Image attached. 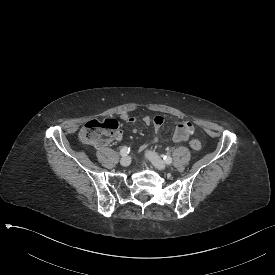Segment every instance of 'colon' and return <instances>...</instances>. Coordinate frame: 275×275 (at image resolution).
I'll return each instance as SVG.
<instances>
[{
    "label": "colon",
    "instance_id": "1",
    "mask_svg": "<svg viewBox=\"0 0 275 275\" xmlns=\"http://www.w3.org/2000/svg\"><path fill=\"white\" fill-rule=\"evenodd\" d=\"M122 130L113 119L89 120L84 123L79 132V140L83 145H98L119 140ZM193 150H200L202 145L198 139L190 141Z\"/></svg>",
    "mask_w": 275,
    "mask_h": 275
}]
</instances>
